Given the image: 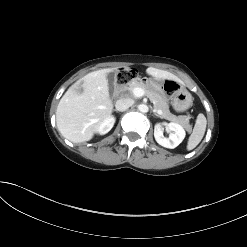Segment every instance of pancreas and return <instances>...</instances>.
<instances>
[{"mask_svg":"<svg viewBox=\"0 0 247 247\" xmlns=\"http://www.w3.org/2000/svg\"><path fill=\"white\" fill-rule=\"evenodd\" d=\"M139 87L144 89L145 94L147 97L152 101L154 104L155 111L161 110L162 113L160 114L161 118H164L169 121H173L176 123L181 124L188 132H191L192 126L189 124V119L187 116L180 115L176 116L172 114L169 110V105L167 99L164 98L158 91L157 86L153 82L148 84L143 83L142 81L139 83H132L130 87L127 88L130 92H133V89ZM125 88V87H124ZM126 89V88H125Z\"/></svg>","mask_w":247,"mask_h":247,"instance_id":"cf45deb5","label":"pancreas"}]
</instances>
